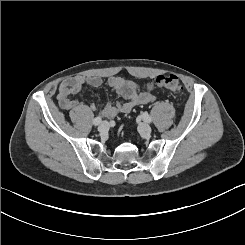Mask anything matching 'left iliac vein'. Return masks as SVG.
<instances>
[{
  "instance_id": "left-iliac-vein-1",
  "label": "left iliac vein",
  "mask_w": 245,
  "mask_h": 245,
  "mask_svg": "<svg viewBox=\"0 0 245 245\" xmlns=\"http://www.w3.org/2000/svg\"><path fill=\"white\" fill-rule=\"evenodd\" d=\"M139 130L144 135H149L151 133V128L147 123H140Z\"/></svg>"
}]
</instances>
